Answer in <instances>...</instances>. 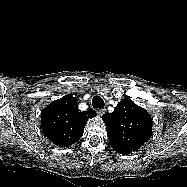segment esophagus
Listing matches in <instances>:
<instances>
[{
	"label": "esophagus",
	"mask_w": 187,
	"mask_h": 187,
	"mask_svg": "<svg viewBox=\"0 0 187 187\" xmlns=\"http://www.w3.org/2000/svg\"><path fill=\"white\" fill-rule=\"evenodd\" d=\"M97 112L99 115H103L105 113V108H98Z\"/></svg>",
	"instance_id": "obj_1"
}]
</instances>
